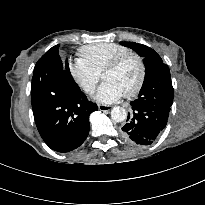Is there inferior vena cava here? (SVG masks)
<instances>
[{
	"instance_id": "602c4592",
	"label": "inferior vena cava",
	"mask_w": 205,
	"mask_h": 205,
	"mask_svg": "<svg viewBox=\"0 0 205 205\" xmlns=\"http://www.w3.org/2000/svg\"><path fill=\"white\" fill-rule=\"evenodd\" d=\"M88 91L93 92L94 91V87L88 88Z\"/></svg>"
}]
</instances>
